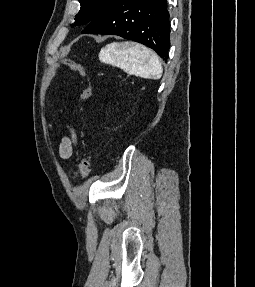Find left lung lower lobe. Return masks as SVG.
Returning a JSON list of instances; mask_svg holds the SVG:
<instances>
[{
	"label": "left lung lower lobe",
	"mask_w": 255,
	"mask_h": 287,
	"mask_svg": "<svg viewBox=\"0 0 255 287\" xmlns=\"http://www.w3.org/2000/svg\"><path fill=\"white\" fill-rule=\"evenodd\" d=\"M82 33L118 35L142 43L167 62L170 47L167 0H112Z\"/></svg>",
	"instance_id": "obj_1"
}]
</instances>
